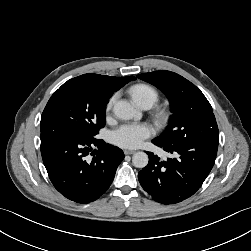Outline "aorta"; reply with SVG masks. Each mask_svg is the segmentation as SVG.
Segmentation results:
<instances>
[{
  "mask_svg": "<svg viewBox=\"0 0 251 251\" xmlns=\"http://www.w3.org/2000/svg\"><path fill=\"white\" fill-rule=\"evenodd\" d=\"M115 115L121 119H132L136 115L135 108L127 101L121 100L115 103L113 107ZM149 161L145 152H136L132 157V163L137 168H144Z\"/></svg>",
  "mask_w": 251,
  "mask_h": 251,
  "instance_id": "obj_1",
  "label": "aorta"
}]
</instances>
